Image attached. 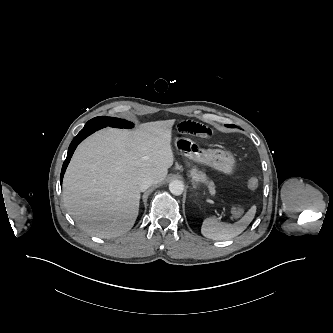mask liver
<instances>
[{
	"instance_id": "1",
	"label": "liver",
	"mask_w": 333,
	"mask_h": 333,
	"mask_svg": "<svg viewBox=\"0 0 333 333\" xmlns=\"http://www.w3.org/2000/svg\"><path fill=\"white\" fill-rule=\"evenodd\" d=\"M175 120L147 122L135 130L106 128L76 149L63 180L68 213L87 233L114 238L128 232L139 212V182H162L173 165Z\"/></svg>"
}]
</instances>
